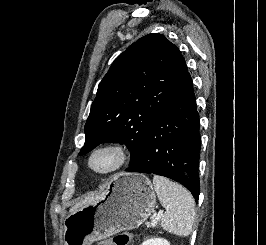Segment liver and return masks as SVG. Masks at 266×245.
I'll use <instances>...</instances> for the list:
<instances>
[{
  "instance_id": "6515ba94",
  "label": "liver",
  "mask_w": 266,
  "mask_h": 245,
  "mask_svg": "<svg viewBox=\"0 0 266 245\" xmlns=\"http://www.w3.org/2000/svg\"><path fill=\"white\" fill-rule=\"evenodd\" d=\"M105 193H101V195H97V197H94V195H88V197H85L83 201H80V203H76L72 209H70L69 213H75V211H78V209H82V207H88V205H93V203H97L99 199H102L104 197Z\"/></svg>"
}]
</instances>
